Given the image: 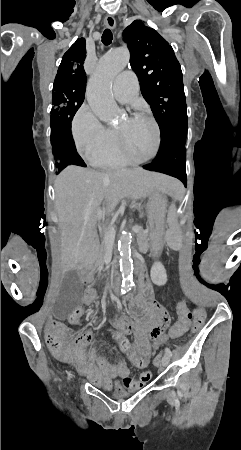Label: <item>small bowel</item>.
I'll return each mask as SVG.
<instances>
[{
  "label": "small bowel",
  "mask_w": 241,
  "mask_h": 450,
  "mask_svg": "<svg viewBox=\"0 0 241 450\" xmlns=\"http://www.w3.org/2000/svg\"><path fill=\"white\" fill-rule=\"evenodd\" d=\"M96 297V290L91 285H88L84 292V305L91 306ZM142 305L149 312V316H136L134 318L135 324L121 317L115 318L114 322L117 330L114 333H120L122 338H125L124 335L128 334V332L135 333L134 342L131 343V347L135 348V355H141L143 360H149L159 348V344L162 342V340L159 339V336L163 335L162 330H167L168 323L169 321H172V318L171 316H166L163 305L160 303L157 304L155 298H144L142 300ZM43 316L47 317L48 313L44 312ZM47 325L51 328L46 330V333L50 335L46 339V346L48 348L58 347L56 349V355L63 360L74 362L78 372L82 375H86L93 384L109 388L112 380L120 377L122 379L123 387L132 390L143 387L151 381V372L144 371L140 374L139 382H135L130 376V370L126 360L122 358H116L111 362L107 358L99 356L95 347L97 340L94 339L90 330L73 333L71 338L76 344V347L71 348L66 344L60 346V341L53 337L57 335L60 336L65 332L61 328L62 322L60 320L51 321ZM137 325H151V327H148V330L146 331L143 328H138ZM174 331H180L182 334L185 332V330ZM148 336H157L154 340L150 337L153 344L149 342ZM126 342H128L127 339ZM85 346H91L87 355L82 352V348ZM104 353L109 355L111 350L106 348ZM132 357L133 356H126L130 362H132Z\"/></svg>",
  "instance_id": "obj_1"
}]
</instances>
